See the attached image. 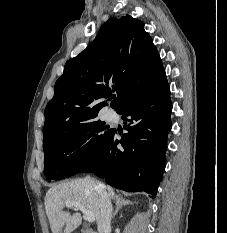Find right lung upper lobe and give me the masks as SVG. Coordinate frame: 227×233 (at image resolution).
<instances>
[{
    "label": "right lung upper lobe",
    "instance_id": "obj_1",
    "mask_svg": "<svg viewBox=\"0 0 227 233\" xmlns=\"http://www.w3.org/2000/svg\"><path fill=\"white\" fill-rule=\"evenodd\" d=\"M166 79L161 58L143 23L126 15L110 18L94 41L68 60L45 109L44 145L90 121L116 92L119 113Z\"/></svg>",
    "mask_w": 227,
    "mask_h": 233
}]
</instances>
